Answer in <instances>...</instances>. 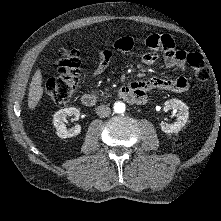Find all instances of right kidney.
Here are the masks:
<instances>
[{"label":"right kidney","mask_w":221,"mask_h":221,"mask_svg":"<svg viewBox=\"0 0 221 221\" xmlns=\"http://www.w3.org/2000/svg\"><path fill=\"white\" fill-rule=\"evenodd\" d=\"M67 116H74L75 120L79 119L80 111L75 107H69L57 111L53 116V125L56 128V133L60 138H70L77 136L81 132V126L75 125L68 129L63 123Z\"/></svg>","instance_id":"ca27d5eb"}]
</instances>
